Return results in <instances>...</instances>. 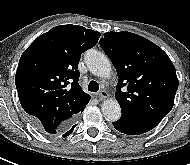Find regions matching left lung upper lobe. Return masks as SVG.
Instances as JSON below:
<instances>
[{"mask_svg":"<svg viewBox=\"0 0 190 165\" xmlns=\"http://www.w3.org/2000/svg\"><path fill=\"white\" fill-rule=\"evenodd\" d=\"M118 74L115 98L122 113L162 120L178 89L176 70L156 44L130 32H107L99 41ZM127 86V90L121 89Z\"/></svg>","mask_w":190,"mask_h":165,"instance_id":"5c2ea615","label":"left lung upper lobe"}]
</instances>
